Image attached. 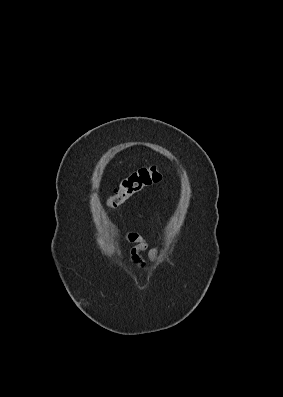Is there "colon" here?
I'll return each instance as SVG.
<instances>
[{"label":"colon","mask_w":283,"mask_h":397,"mask_svg":"<svg viewBox=\"0 0 283 397\" xmlns=\"http://www.w3.org/2000/svg\"><path fill=\"white\" fill-rule=\"evenodd\" d=\"M162 177V172L156 165L140 168L120 182L107 203L109 206L117 207L146 187L160 182Z\"/></svg>","instance_id":"obj_1"}]
</instances>
